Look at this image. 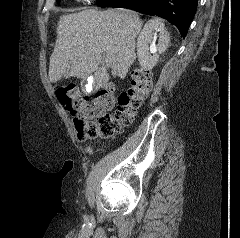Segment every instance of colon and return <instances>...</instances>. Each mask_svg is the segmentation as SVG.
Masks as SVG:
<instances>
[{
  "label": "colon",
  "mask_w": 240,
  "mask_h": 238,
  "mask_svg": "<svg viewBox=\"0 0 240 238\" xmlns=\"http://www.w3.org/2000/svg\"><path fill=\"white\" fill-rule=\"evenodd\" d=\"M150 89V72L134 69L131 72L130 86L119 95L117 109L113 114L107 112L114 104L110 88L100 90L93 100H89L74 84L58 87L55 94L60 104L73 117L78 138L91 140L111 137L123 126L130 124Z\"/></svg>",
  "instance_id": "colon-1"
}]
</instances>
